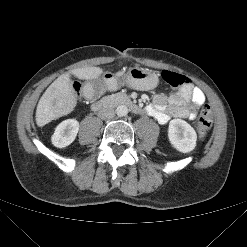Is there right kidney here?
Listing matches in <instances>:
<instances>
[{"mask_svg": "<svg viewBox=\"0 0 247 247\" xmlns=\"http://www.w3.org/2000/svg\"><path fill=\"white\" fill-rule=\"evenodd\" d=\"M78 131L79 122L76 119L64 120L55 128L51 137L52 144L57 148H64L75 140Z\"/></svg>", "mask_w": 247, "mask_h": 247, "instance_id": "right-kidney-1", "label": "right kidney"}]
</instances>
